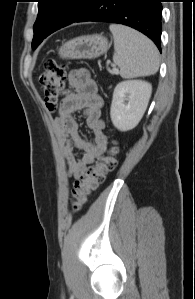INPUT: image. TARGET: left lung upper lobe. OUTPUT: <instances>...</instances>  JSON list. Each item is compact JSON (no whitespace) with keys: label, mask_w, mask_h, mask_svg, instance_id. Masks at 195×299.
Returning a JSON list of instances; mask_svg holds the SVG:
<instances>
[{"label":"left lung upper lobe","mask_w":195,"mask_h":299,"mask_svg":"<svg viewBox=\"0 0 195 299\" xmlns=\"http://www.w3.org/2000/svg\"><path fill=\"white\" fill-rule=\"evenodd\" d=\"M90 0H38L32 48L56 30L70 25L84 13Z\"/></svg>","instance_id":"left-lung-upper-lobe-1"}]
</instances>
